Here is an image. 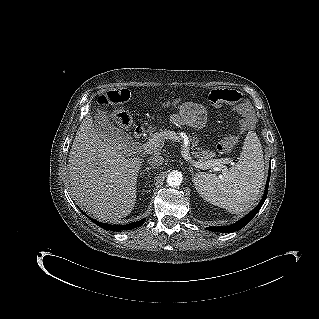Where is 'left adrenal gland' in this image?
<instances>
[{
	"instance_id": "a2214340",
	"label": "left adrenal gland",
	"mask_w": 319,
	"mask_h": 319,
	"mask_svg": "<svg viewBox=\"0 0 319 319\" xmlns=\"http://www.w3.org/2000/svg\"><path fill=\"white\" fill-rule=\"evenodd\" d=\"M189 170H190L191 174L194 175V173H193V168H192V167H189Z\"/></svg>"
}]
</instances>
